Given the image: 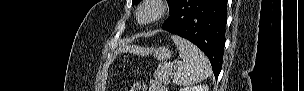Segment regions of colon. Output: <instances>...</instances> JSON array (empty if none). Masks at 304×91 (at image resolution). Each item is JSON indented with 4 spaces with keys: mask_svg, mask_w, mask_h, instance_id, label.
Masks as SVG:
<instances>
[{
    "mask_svg": "<svg viewBox=\"0 0 304 91\" xmlns=\"http://www.w3.org/2000/svg\"><path fill=\"white\" fill-rule=\"evenodd\" d=\"M143 89V85L140 83H135L133 86H131L128 90H142Z\"/></svg>",
    "mask_w": 304,
    "mask_h": 91,
    "instance_id": "obj_1",
    "label": "colon"
}]
</instances>
